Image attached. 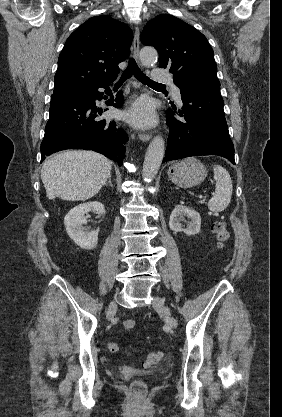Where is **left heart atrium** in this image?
<instances>
[{
	"mask_svg": "<svg viewBox=\"0 0 282 417\" xmlns=\"http://www.w3.org/2000/svg\"><path fill=\"white\" fill-rule=\"evenodd\" d=\"M130 119L138 125H150L154 122L151 104L146 99L139 100L129 112Z\"/></svg>",
	"mask_w": 282,
	"mask_h": 417,
	"instance_id": "left-heart-atrium-1",
	"label": "left heart atrium"
}]
</instances>
